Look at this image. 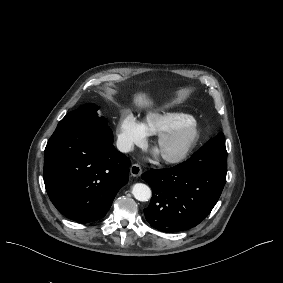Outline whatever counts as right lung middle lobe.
<instances>
[{
    "label": "right lung middle lobe",
    "mask_w": 283,
    "mask_h": 283,
    "mask_svg": "<svg viewBox=\"0 0 283 283\" xmlns=\"http://www.w3.org/2000/svg\"><path fill=\"white\" fill-rule=\"evenodd\" d=\"M99 107L89 103L82 105L80 108L68 113L58 124L62 126H77L95 130H104L109 128L104 117H99L97 110Z\"/></svg>",
    "instance_id": "obj_1"
}]
</instances>
